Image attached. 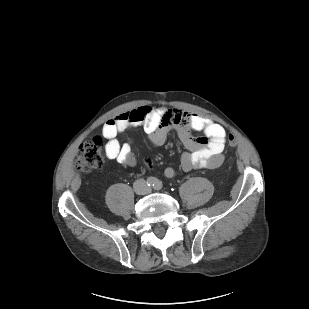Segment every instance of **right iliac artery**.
Here are the masks:
<instances>
[{
    "label": "right iliac artery",
    "mask_w": 309,
    "mask_h": 309,
    "mask_svg": "<svg viewBox=\"0 0 309 309\" xmlns=\"http://www.w3.org/2000/svg\"><path fill=\"white\" fill-rule=\"evenodd\" d=\"M155 182H156V179L153 178V177H149V178L147 179V185H148V186H154V185H155Z\"/></svg>",
    "instance_id": "1"
}]
</instances>
